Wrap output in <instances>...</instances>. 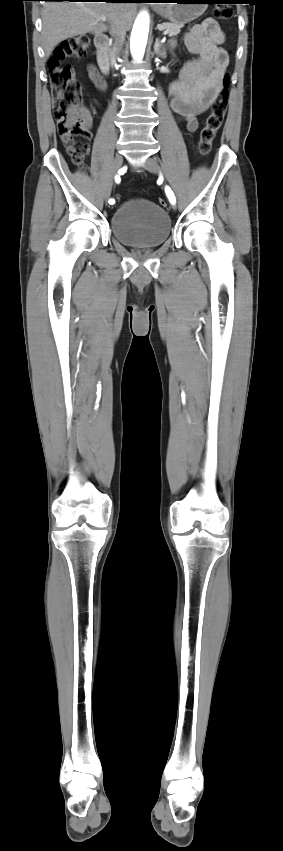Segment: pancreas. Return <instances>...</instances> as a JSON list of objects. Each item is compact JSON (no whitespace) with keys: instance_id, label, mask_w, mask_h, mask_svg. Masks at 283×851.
Listing matches in <instances>:
<instances>
[{"instance_id":"cf45deb5","label":"pancreas","mask_w":283,"mask_h":851,"mask_svg":"<svg viewBox=\"0 0 283 851\" xmlns=\"http://www.w3.org/2000/svg\"><path fill=\"white\" fill-rule=\"evenodd\" d=\"M182 27H183L182 24L166 23V22L157 25L158 29H164L165 31H167L168 35L170 37L177 36L180 33V30H181Z\"/></svg>"}]
</instances>
